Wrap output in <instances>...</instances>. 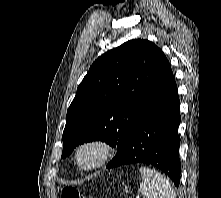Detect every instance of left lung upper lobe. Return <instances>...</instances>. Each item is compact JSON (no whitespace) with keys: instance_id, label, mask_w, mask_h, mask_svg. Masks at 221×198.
Segmentation results:
<instances>
[{"instance_id":"left-lung-upper-lobe-1","label":"left lung upper lobe","mask_w":221,"mask_h":198,"mask_svg":"<svg viewBox=\"0 0 221 198\" xmlns=\"http://www.w3.org/2000/svg\"><path fill=\"white\" fill-rule=\"evenodd\" d=\"M171 74L164 53L148 40H130L101 55L68 108L61 157L96 140L117 146L118 152L159 99Z\"/></svg>"}]
</instances>
